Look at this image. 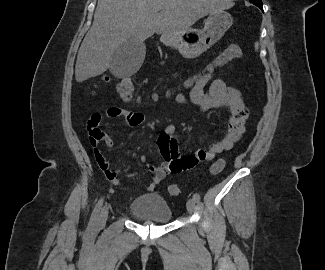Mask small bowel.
<instances>
[{
    "mask_svg": "<svg viewBox=\"0 0 325 270\" xmlns=\"http://www.w3.org/2000/svg\"><path fill=\"white\" fill-rule=\"evenodd\" d=\"M209 82V91L205 92L204 87ZM152 96H155V94ZM174 99L180 106L187 107L191 102L200 106L203 111L218 107L227 108L230 111L227 132L221 141L213 144L209 149H200L194 154L180 156L179 146L175 138L176 127L172 124L166 126L157 139L163 162L158 166L147 164L148 170L153 174L152 180L147 186L148 191H153L169 173H179L191 169L200 161L213 160L217 154L230 150L244 132L247 109L242 101L241 93L237 89L227 86L220 77H217V71L215 70L210 79H204L200 87L189 91V98L181 91V94L174 96ZM106 116L113 119L124 117L126 124L131 127H139L143 125L145 120L144 115L140 112L128 111L116 106L109 107ZM90 119L101 122V114L94 113ZM103 141L107 148L112 147L113 143L109 138ZM95 159L112 184L120 186L116 173L110 169L108 161L98 149H95ZM140 160L145 162L147 157L141 155Z\"/></svg>",
    "mask_w": 325,
    "mask_h": 270,
    "instance_id": "small-bowel-1",
    "label": "small bowel"
}]
</instances>
